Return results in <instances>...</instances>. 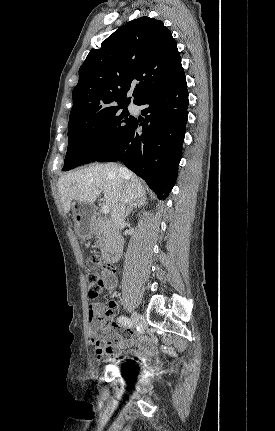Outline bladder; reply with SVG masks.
<instances>
[{
	"label": "bladder",
	"mask_w": 275,
	"mask_h": 431,
	"mask_svg": "<svg viewBox=\"0 0 275 431\" xmlns=\"http://www.w3.org/2000/svg\"><path fill=\"white\" fill-rule=\"evenodd\" d=\"M124 363H125V361H123V360H119V361H117V364H118L119 366H122Z\"/></svg>",
	"instance_id": "1"
}]
</instances>
